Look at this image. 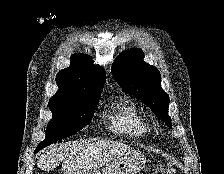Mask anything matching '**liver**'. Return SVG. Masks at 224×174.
Wrapping results in <instances>:
<instances>
[{
  "mask_svg": "<svg viewBox=\"0 0 224 174\" xmlns=\"http://www.w3.org/2000/svg\"><path fill=\"white\" fill-rule=\"evenodd\" d=\"M131 150L130 146L123 143L105 140L54 144L39 156L37 166L44 171H51L63 162V174H85L107 165Z\"/></svg>",
  "mask_w": 224,
  "mask_h": 174,
  "instance_id": "1",
  "label": "liver"
}]
</instances>
